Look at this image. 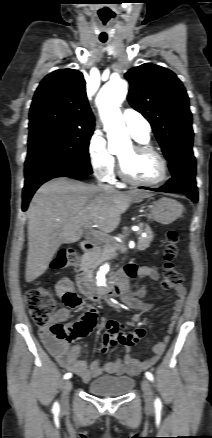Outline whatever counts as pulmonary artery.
I'll use <instances>...</instances> for the list:
<instances>
[{
    "label": "pulmonary artery",
    "instance_id": "pulmonary-artery-1",
    "mask_svg": "<svg viewBox=\"0 0 212 438\" xmlns=\"http://www.w3.org/2000/svg\"><path fill=\"white\" fill-rule=\"evenodd\" d=\"M123 121L131 135L137 140H148L151 132L149 122L143 115L134 109H126L123 112Z\"/></svg>",
    "mask_w": 212,
    "mask_h": 438
}]
</instances>
